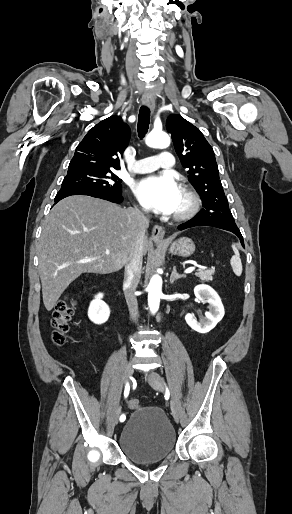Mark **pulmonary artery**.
Masks as SVG:
<instances>
[{
	"instance_id": "obj_1",
	"label": "pulmonary artery",
	"mask_w": 292,
	"mask_h": 514,
	"mask_svg": "<svg viewBox=\"0 0 292 514\" xmlns=\"http://www.w3.org/2000/svg\"><path fill=\"white\" fill-rule=\"evenodd\" d=\"M155 157L161 160V164L154 157H140L134 161L133 169L138 173L157 172L160 169L162 172L172 171L175 165V158L170 151H159L155 154Z\"/></svg>"
}]
</instances>
